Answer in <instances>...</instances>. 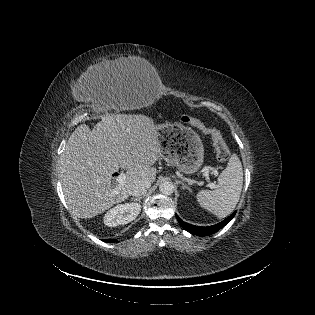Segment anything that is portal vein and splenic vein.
<instances>
[{"instance_id": "portal-vein-and-splenic-vein-1", "label": "portal vein and splenic vein", "mask_w": 315, "mask_h": 315, "mask_svg": "<svg viewBox=\"0 0 315 315\" xmlns=\"http://www.w3.org/2000/svg\"><path fill=\"white\" fill-rule=\"evenodd\" d=\"M209 167H207L206 169H203L202 172H203V175L206 177L207 180H209ZM126 180V174L125 173H120V175L118 176L117 178V182H118V186L116 188H114L111 192L112 195H117L119 194V191H120V187L124 184ZM208 186L213 189V188H216V185L214 183H208Z\"/></svg>"}]
</instances>
